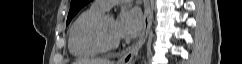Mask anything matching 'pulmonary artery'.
<instances>
[{"instance_id": "pulmonary-artery-1", "label": "pulmonary artery", "mask_w": 242, "mask_h": 64, "mask_svg": "<svg viewBox=\"0 0 242 64\" xmlns=\"http://www.w3.org/2000/svg\"><path fill=\"white\" fill-rule=\"evenodd\" d=\"M129 1L130 0H96L94 2V5L100 7L104 10H108L115 4L129 2Z\"/></svg>"}]
</instances>
